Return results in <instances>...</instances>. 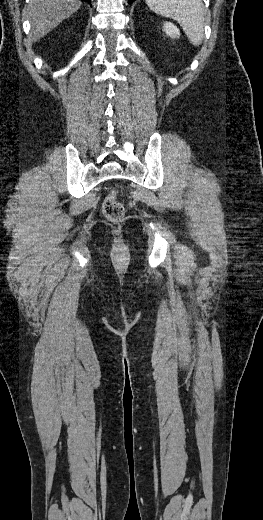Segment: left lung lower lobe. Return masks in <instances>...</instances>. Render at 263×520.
Returning a JSON list of instances; mask_svg holds the SVG:
<instances>
[{
  "mask_svg": "<svg viewBox=\"0 0 263 520\" xmlns=\"http://www.w3.org/2000/svg\"><path fill=\"white\" fill-rule=\"evenodd\" d=\"M133 1H135V0H128L129 3H132Z\"/></svg>",
  "mask_w": 263,
  "mask_h": 520,
  "instance_id": "0a47b994",
  "label": "left lung lower lobe"
}]
</instances>
